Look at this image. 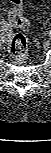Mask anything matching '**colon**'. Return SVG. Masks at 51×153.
I'll list each match as a JSON object with an SVG mask.
<instances>
[{"label":"colon","mask_w":51,"mask_h":153,"mask_svg":"<svg viewBox=\"0 0 51 153\" xmlns=\"http://www.w3.org/2000/svg\"><path fill=\"white\" fill-rule=\"evenodd\" d=\"M11 3L12 6L8 13L10 26L21 30H27L29 28V21L22 13L21 0H11ZM8 48L9 52L17 62L24 63L27 60L28 44L27 39L23 34H14L9 41Z\"/></svg>","instance_id":"colon-1"}]
</instances>
